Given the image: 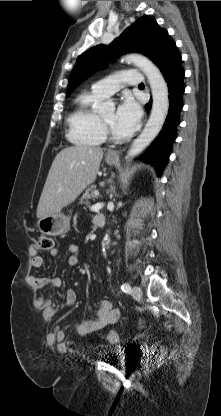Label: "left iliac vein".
Listing matches in <instances>:
<instances>
[{"label": "left iliac vein", "instance_id": "left-iliac-vein-1", "mask_svg": "<svg viewBox=\"0 0 221 416\" xmlns=\"http://www.w3.org/2000/svg\"><path fill=\"white\" fill-rule=\"evenodd\" d=\"M132 297L135 299H140L142 297V290L138 286H134L131 290Z\"/></svg>", "mask_w": 221, "mask_h": 416}]
</instances>
